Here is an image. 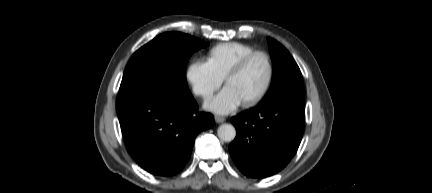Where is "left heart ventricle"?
<instances>
[{
  "instance_id": "obj_1",
  "label": "left heart ventricle",
  "mask_w": 432,
  "mask_h": 193,
  "mask_svg": "<svg viewBox=\"0 0 432 193\" xmlns=\"http://www.w3.org/2000/svg\"><path fill=\"white\" fill-rule=\"evenodd\" d=\"M268 75L266 59L255 57L249 65L227 85L239 97L241 102L256 96L263 88Z\"/></svg>"
}]
</instances>
